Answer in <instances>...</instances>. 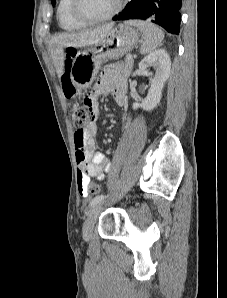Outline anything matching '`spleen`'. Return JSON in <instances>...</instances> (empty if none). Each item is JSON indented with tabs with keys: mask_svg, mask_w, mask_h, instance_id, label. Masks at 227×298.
Here are the masks:
<instances>
[{
	"mask_svg": "<svg viewBox=\"0 0 227 298\" xmlns=\"http://www.w3.org/2000/svg\"><path fill=\"white\" fill-rule=\"evenodd\" d=\"M127 23L137 27L143 33V43L140 47L141 54L154 51L164 39L163 31L150 22L131 20Z\"/></svg>",
	"mask_w": 227,
	"mask_h": 298,
	"instance_id": "obj_1",
	"label": "spleen"
}]
</instances>
